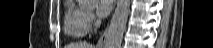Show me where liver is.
I'll list each match as a JSON object with an SVG mask.
<instances>
[{
  "mask_svg": "<svg viewBox=\"0 0 213 48\" xmlns=\"http://www.w3.org/2000/svg\"><path fill=\"white\" fill-rule=\"evenodd\" d=\"M66 48H93V46L86 42H78V43L69 45Z\"/></svg>",
  "mask_w": 213,
  "mask_h": 48,
  "instance_id": "obj_1",
  "label": "liver"
}]
</instances>
